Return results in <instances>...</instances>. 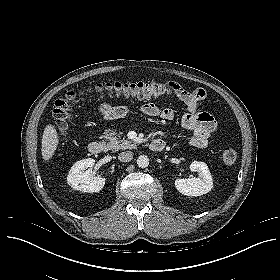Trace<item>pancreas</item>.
<instances>
[{
    "instance_id": "obj_1",
    "label": "pancreas",
    "mask_w": 280,
    "mask_h": 280,
    "mask_svg": "<svg viewBox=\"0 0 280 280\" xmlns=\"http://www.w3.org/2000/svg\"><path fill=\"white\" fill-rule=\"evenodd\" d=\"M102 137L109 141L107 143V148L109 150L118 151V150L133 149L136 147V143L126 138L121 139L120 135H117L116 132L111 130L106 131L105 135H103Z\"/></svg>"
}]
</instances>
